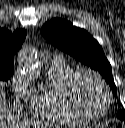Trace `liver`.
I'll return each mask as SVG.
<instances>
[{
  "label": "liver",
  "mask_w": 125,
  "mask_h": 128,
  "mask_svg": "<svg viewBox=\"0 0 125 128\" xmlns=\"http://www.w3.org/2000/svg\"><path fill=\"white\" fill-rule=\"evenodd\" d=\"M6 99L5 95L0 89V128H7L11 124V116L7 113L5 109ZM40 127V125H38ZM42 128H49L48 125L41 126Z\"/></svg>",
  "instance_id": "6515ba94"
}]
</instances>
